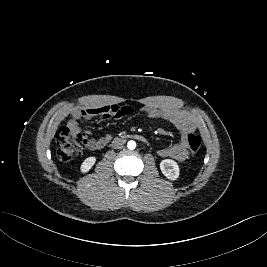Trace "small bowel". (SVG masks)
Returning <instances> with one entry per match:
<instances>
[{
    "instance_id": "c3829d8e",
    "label": "small bowel",
    "mask_w": 267,
    "mask_h": 267,
    "mask_svg": "<svg viewBox=\"0 0 267 267\" xmlns=\"http://www.w3.org/2000/svg\"><path fill=\"white\" fill-rule=\"evenodd\" d=\"M132 108L129 106L106 105L101 107H89L84 109H76L72 112V119L68 125L76 127L77 121L80 119L89 120L94 116L101 115L104 119L111 117H123L132 113ZM143 112L152 119H161L169 122L176 127L180 132L178 142L172 146L162 148L158 151L161 157H169L178 161H183L188 157L187 138L197 129L195 120L188 114L172 110L162 109L157 106L149 105L143 108ZM111 139L109 134L102 137L89 140L87 147L89 150L96 151L105 147Z\"/></svg>"
}]
</instances>
